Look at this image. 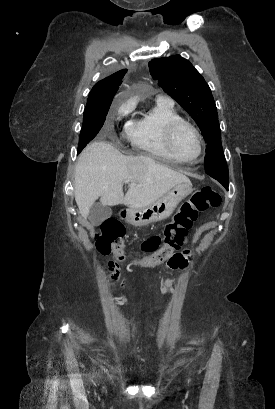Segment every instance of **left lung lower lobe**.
I'll return each instance as SVG.
<instances>
[{
  "mask_svg": "<svg viewBox=\"0 0 275 409\" xmlns=\"http://www.w3.org/2000/svg\"><path fill=\"white\" fill-rule=\"evenodd\" d=\"M215 179V178H214ZM217 181H219L227 190H228V186H229V182L223 181V180H219L216 179Z\"/></svg>",
  "mask_w": 275,
  "mask_h": 409,
  "instance_id": "0a47b994",
  "label": "left lung lower lobe"
}]
</instances>
